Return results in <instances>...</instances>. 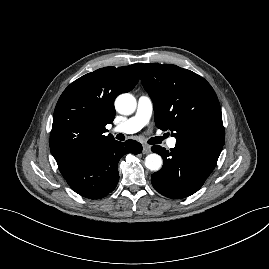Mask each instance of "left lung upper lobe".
Masks as SVG:
<instances>
[{"label":"left lung upper lobe","mask_w":269,"mask_h":269,"mask_svg":"<svg viewBox=\"0 0 269 269\" xmlns=\"http://www.w3.org/2000/svg\"><path fill=\"white\" fill-rule=\"evenodd\" d=\"M140 77L159 129L170 130L176 141L224 145L221 107L204 78L169 64H144Z\"/></svg>","instance_id":"5c2ea615"}]
</instances>
